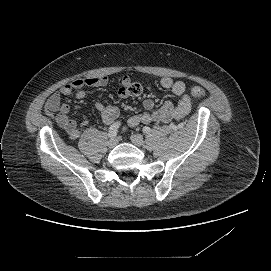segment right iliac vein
I'll return each instance as SVG.
<instances>
[{
	"mask_svg": "<svg viewBox=\"0 0 271 271\" xmlns=\"http://www.w3.org/2000/svg\"><path fill=\"white\" fill-rule=\"evenodd\" d=\"M117 143H118V140H117L116 138H112V139H110V140L108 141V146H109L110 148H113V147H115V146L117 145Z\"/></svg>",
	"mask_w": 271,
	"mask_h": 271,
	"instance_id": "1",
	"label": "right iliac vein"
}]
</instances>
